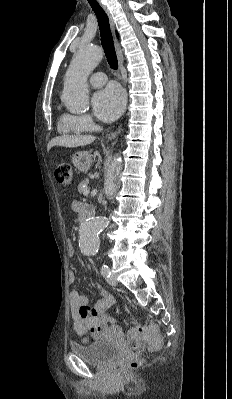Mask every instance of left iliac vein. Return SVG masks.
Segmentation results:
<instances>
[{"mask_svg": "<svg viewBox=\"0 0 232 399\" xmlns=\"http://www.w3.org/2000/svg\"><path fill=\"white\" fill-rule=\"evenodd\" d=\"M108 283H109V286L119 285L118 283H116V278H108Z\"/></svg>", "mask_w": 232, "mask_h": 399, "instance_id": "1", "label": "left iliac vein"}]
</instances>
